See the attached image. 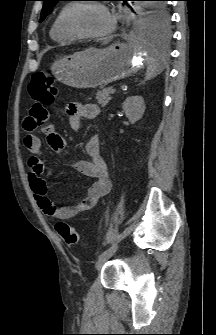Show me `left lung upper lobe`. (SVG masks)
Segmentation results:
<instances>
[{
    "label": "left lung upper lobe",
    "mask_w": 216,
    "mask_h": 335,
    "mask_svg": "<svg viewBox=\"0 0 216 335\" xmlns=\"http://www.w3.org/2000/svg\"><path fill=\"white\" fill-rule=\"evenodd\" d=\"M44 2L40 21L42 22L49 14L57 2L62 0H42ZM128 1V0H122ZM146 1L142 19L143 25L147 31L158 36H167L169 34L170 18L164 1L166 0H142Z\"/></svg>",
    "instance_id": "left-lung-upper-lobe-1"
}]
</instances>
